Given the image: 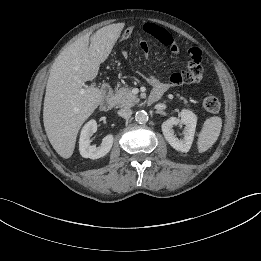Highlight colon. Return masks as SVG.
<instances>
[{
	"instance_id": "1",
	"label": "colon",
	"mask_w": 261,
	"mask_h": 261,
	"mask_svg": "<svg viewBox=\"0 0 261 261\" xmlns=\"http://www.w3.org/2000/svg\"><path fill=\"white\" fill-rule=\"evenodd\" d=\"M135 28L129 25L125 31L119 36L118 44L122 45L129 40V37L134 33ZM203 107L206 111L215 113L220 110L221 102L219 98L215 95H208L203 100Z\"/></svg>"
}]
</instances>
